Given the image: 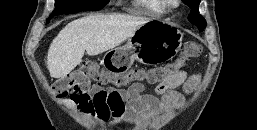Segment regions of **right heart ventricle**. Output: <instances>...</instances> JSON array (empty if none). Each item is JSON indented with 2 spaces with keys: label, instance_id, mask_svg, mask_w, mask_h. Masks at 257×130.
I'll return each mask as SVG.
<instances>
[{
  "label": "right heart ventricle",
  "instance_id": "1",
  "mask_svg": "<svg viewBox=\"0 0 257 130\" xmlns=\"http://www.w3.org/2000/svg\"><path fill=\"white\" fill-rule=\"evenodd\" d=\"M132 3L137 12L150 16L163 15L167 11L165 0H133Z\"/></svg>",
  "mask_w": 257,
  "mask_h": 130
}]
</instances>
